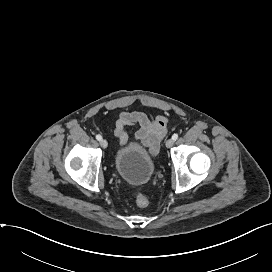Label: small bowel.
I'll list each match as a JSON object with an SVG mask.
<instances>
[{
    "label": "small bowel",
    "mask_w": 272,
    "mask_h": 272,
    "mask_svg": "<svg viewBox=\"0 0 272 272\" xmlns=\"http://www.w3.org/2000/svg\"><path fill=\"white\" fill-rule=\"evenodd\" d=\"M168 118L166 116L148 117L143 112L124 111L120 114L114 134L120 145L124 146L128 142V129L136 127L135 139L150 153L156 154L159 150L161 140L165 136Z\"/></svg>",
    "instance_id": "obj_1"
}]
</instances>
